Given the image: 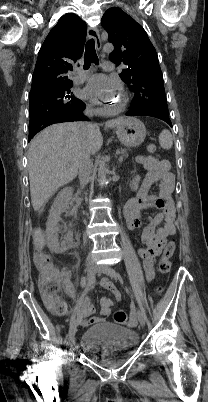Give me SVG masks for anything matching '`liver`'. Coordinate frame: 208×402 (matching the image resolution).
<instances>
[{
  "instance_id": "1",
  "label": "liver",
  "mask_w": 208,
  "mask_h": 402,
  "mask_svg": "<svg viewBox=\"0 0 208 402\" xmlns=\"http://www.w3.org/2000/svg\"><path fill=\"white\" fill-rule=\"evenodd\" d=\"M123 120H109L106 128H115ZM85 140L90 154H95L103 144L97 124L82 132L79 124H54L30 142L28 172L31 204L35 212L57 192L58 188L74 180L78 174L77 154Z\"/></svg>"
}]
</instances>
